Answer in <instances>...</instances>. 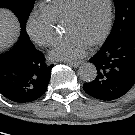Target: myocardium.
<instances>
[{
  "label": "myocardium",
  "instance_id": "myocardium-1",
  "mask_svg": "<svg viewBox=\"0 0 135 135\" xmlns=\"http://www.w3.org/2000/svg\"><path fill=\"white\" fill-rule=\"evenodd\" d=\"M82 2L83 0H77L74 3L73 8L71 12L69 13V15L67 16V18L65 19L64 23L71 21L77 17ZM107 3H108V14H107V21H106V26L104 28V31L94 42H92L89 45V47L94 48V47L99 46L106 40V38L110 34L112 23H113V0H107Z\"/></svg>",
  "mask_w": 135,
  "mask_h": 135
}]
</instances>
